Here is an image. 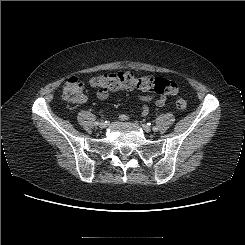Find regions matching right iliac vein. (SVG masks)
Wrapping results in <instances>:
<instances>
[{"instance_id": "1", "label": "right iliac vein", "mask_w": 245, "mask_h": 245, "mask_svg": "<svg viewBox=\"0 0 245 245\" xmlns=\"http://www.w3.org/2000/svg\"><path fill=\"white\" fill-rule=\"evenodd\" d=\"M107 125H108V124H107L106 122H104V121H101V122L98 123V126H99L100 128H106Z\"/></svg>"}]
</instances>
